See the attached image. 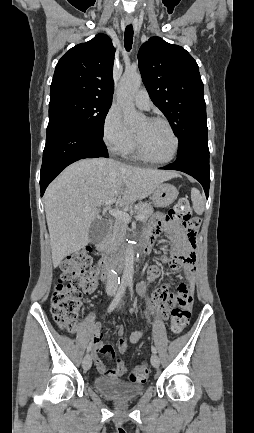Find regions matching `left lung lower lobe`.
I'll list each match as a JSON object with an SVG mask.
<instances>
[{
  "mask_svg": "<svg viewBox=\"0 0 254 433\" xmlns=\"http://www.w3.org/2000/svg\"><path fill=\"white\" fill-rule=\"evenodd\" d=\"M160 169L178 170L191 175L201 183L208 198L210 186L208 144H196L187 148L178 154L175 162Z\"/></svg>",
  "mask_w": 254,
  "mask_h": 433,
  "instance_id": "obj_1",
  "label": "left lung lower lobe"
}]
</instances>
